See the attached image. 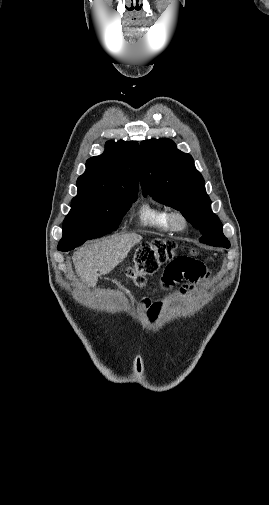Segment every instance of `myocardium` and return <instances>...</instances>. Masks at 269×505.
<instances>
[{"instance_id":"f54148a6","label":"myocardium","mask_w":269,"mask_h":505,"mask_svg":"<svg viewBox=\"0 0 269 505\" xmlns=\"http://www.w3.org/2000/svg\"><path fill=\"white\" fill-rule=\"evenodd\" d=\"M168 223L175 232H184L189 226L187 216L180 210H172L168 214Z\"/></svg>"}]
</instances>
